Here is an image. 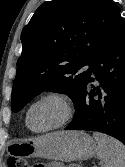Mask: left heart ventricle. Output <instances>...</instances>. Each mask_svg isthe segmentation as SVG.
<instances>
[{"label":"left heart ventricle","instance_id":"1","mask_svg":"<svg viewBox=\"0 0 125 167\" xmlns=\"http://www.w3.org/2000/svg\"><path fill=\"white\" fill-rule=\"evenodd\" d=\"M61 107L55 101L48 100L37 105L30 114V125L34 129H44L51 126L61 116Z\"/></svg>","mask_w":125,"mask_h":167}]
</instances>
